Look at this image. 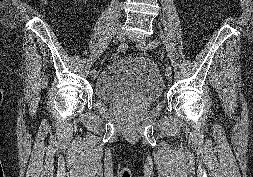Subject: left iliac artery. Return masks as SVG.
I'll use <instances>...</instances> for the list:
<instances>
[{"instance_id": "left-iliac-artery-1", "label": "left iliac artery", "mask_w": 253, "mask_h": 177, "mask_svg": "<svg viewBox=\"0 0 253 177\" xmlns=\"http://www.w3.org/2000/svg\"><path fill=\"white\" fill-rule=\"evenodd\" d=\"M159 44H160V41H159L158 39H154V40H152L150 43H148V44L145 46V48H146V49H155V48H157V47L159 46ZM165 71H171V72H172L171 66H167V67L165 68Z\"/></svg>"}]
</instances>
